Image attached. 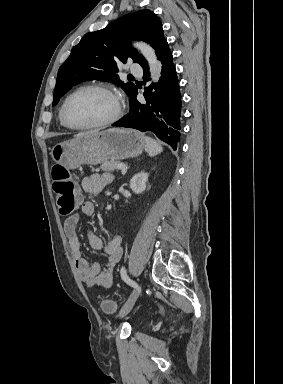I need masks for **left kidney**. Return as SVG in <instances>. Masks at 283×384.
<instances>
[{
	"instance_id": "1",
	"label": "left kidney",
	"mask_w": 283,
	"mask_h": 384,
	"mask_svg": "<svg viewBox=\"0 0 283 384\" xmlns=\"http://www.w3.org/2000/svg\"><path fill=\"white\" fill-rule=\"evenodd\" d=\"M146 182H148V174L141 172V174H135L132 180H130V188L135 194H142L146 190Z\"/></svg>"
}]
</instances>
